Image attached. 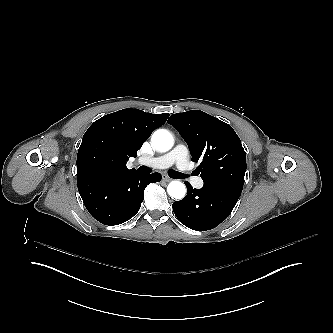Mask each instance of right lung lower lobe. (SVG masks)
Listing matches in <instances>:
<instances>
[{"label": "right lung lower lobe", "instance_id": "1", "mask_svg": "<svg viewBox=\"0 0 333 333\" xmlns=\"http://www.w3.org/2000/svg\"><path fill=\"white\" fill-rule=\"evenodd\" d=\"M160 180L159 173L142 174L136 170L77 174L85 207L105 225H118L131 219L140 209L145 187Z\"/></svg>", "mask_w": 333, "mask_h": 333}]
</instances>
